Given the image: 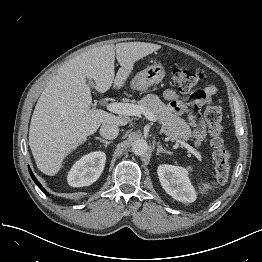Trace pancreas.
<instances>
[{
    "mask_svg": "<svg viewBox=\"0 0 262 262\" xmlns=\"http://www.w3.org/2000/svg\"><path fill=\"white\" fill-rule=\"evenodd\" d=\"M138 104L154 115L169 138L174 140H188L190 138L191 129L187 122L173 114L171 108L165 105L158 96L148 94Z\"/></svg>",
    "mask_w": 262,
    "mask_h": 262,
    "instance_id": "pancreas-1",
    "label": "pancreas"
}]
</instances>
